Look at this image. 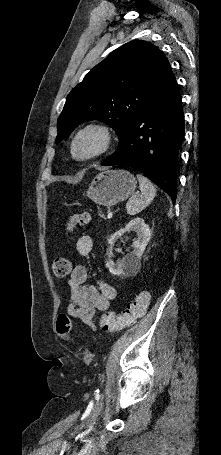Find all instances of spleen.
Wrapping results in <instances>:
<instances>
[{
  "label": "spleen",
  "mask_w": 221,
  "mask_h": 455,
  "mask_svg": "<svg viewBox=\"0 0 221 455\" xmlns=\"http://www.w3.org/2000/svg\"><path fill=\"white\" fill-rule=\"evenodd\" d=\"M137 179L141 194L133 195L126 203L127 214L132 216L144 210L156 196V188L147 177L138 174Z\"/></svg>",
  "instance_id": "1"
}]
</instances>
